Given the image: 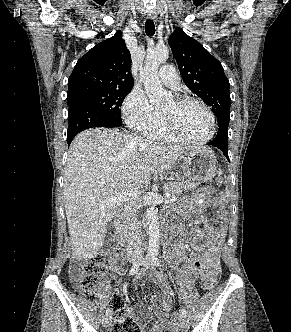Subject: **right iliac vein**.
<instances>
[{
  "label": "right iliac vein",
  "instance_id": "obj_1",
  "mask_svg": "<svg viewBox=\"0 0 291 332\" xmlns=\"http://www.w3.org/2000/svg\"><path fill=\"white\" fill-rule=\"evenodd\" d=\"M129 261L131 263H136L137 262V258L136 257H130ZM111 323V316L110 315H106L103 317V320H102V324L104 327H108Z\"/></svg>",
  "mask_w": 291,
  "mask_h": 332
}]
</instances>
